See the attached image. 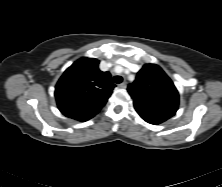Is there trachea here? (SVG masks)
<instances>
[{
  "instance_id": "1",
  "label": "trachea",
  "mask_w": 222,
  "mask_h": 187,
  "mask_svg": "<svg viewBox=\"0 0 222 187\" xmlns=\"http://www.w3.org/2000/svg\"><path fill=\"white\" fill-rule=\"evenodd\" d=\"M123 81V78L121 76H115L113 78V82L116 84H120Z\"/></svg>"
}]
</instances>
